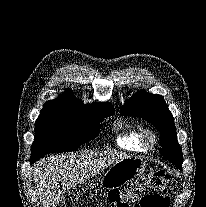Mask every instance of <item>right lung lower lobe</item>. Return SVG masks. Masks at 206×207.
<instances>
[{"label": "right lung lower lobe", "mask_w": 206, "mask_h": 207, "mask_svg": "<svg viewBox=\"0 0 206 207\" xmlns=\"http://www.w3.org/2000/svg\"><path fill=\"white\" fill-rule=\"evenodd\" d=\"M39 157H31L30 158V164H33L35 161H37Z\"/></svg>", "instance_id": "right-lung-lower-lobe-1"}]
</instances>
